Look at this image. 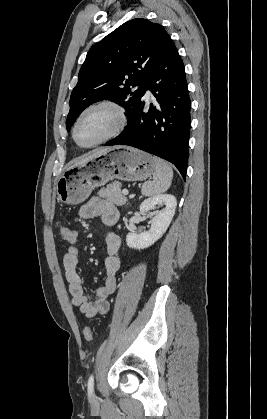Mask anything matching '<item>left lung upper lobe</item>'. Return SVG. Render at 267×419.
<instances>
[{"instance_id": "1", "label": "left lung upper lobe", "mask_w": 267, "mask_h": 419, "mask_svg": "<svg viewBox=\"0 0 267 419\" xmlns=\"http://www.w3.org/2000/svg\"><path fill=\"white\" fill-rule=\"evenodd\" d=\"M170 42L160 24L137 18L122 24L93 46L70 97L67 130L86 107L104 99L122 106L128 119L143 98L148 75Z\"/></svg>"}]
</instances>
